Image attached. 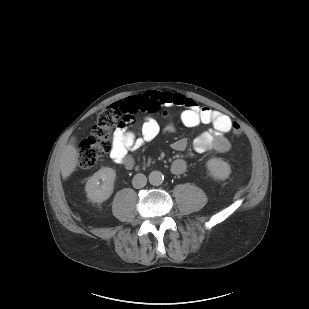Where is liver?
<instances>
[{
	"label": "liver",
	"mask_w": 309,
	"mask_h": 309,
	"mask_svg": "<svg viewBox=\"0 0 309 309\" xmlns=\"http://www.w3.org/2000/svg\"><path fill=\"white\" fill-rule=\"evenodd\" d=\"M78 165V150L73 144V139L71 143L68 144L62 152L60 160V169L63 179L69 177L76 169Z\"/></svg>",
	"instance_id": "6515ba94"
}]
</instances>
